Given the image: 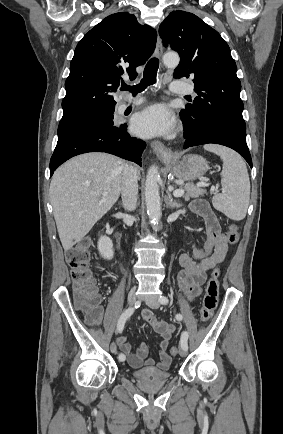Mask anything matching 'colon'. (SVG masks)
Listing matches in <instances>:
<instances>
[{
	"label": "colon",
	"mask_w": 283,
	"mask_h": 434,
	"mask_svg": "<svg viewBox=\"0 0 283 434\" xmlns=\"http://www.w3.org/2000/svg\"><path fill=\"white\" fill-rule=\"evenodd\" d=\"M227 241L234 244L238 241L239 231L234 224L230 225L227 231ZM89 241L82 240L72 246L66 252V261L71 269L73 288L75 291L76 303L85 314L90 324H97L101 318V308L99 306V294L96 281L90 268V249ZM219 270L216 269L211 274L202 299L200 308V318L207 322L212 316L218 304L219 298ZM178 347H172L170 354L177 356Z\"/></svg>",
	"instance_id": "obj_1"
}]
</instances>
